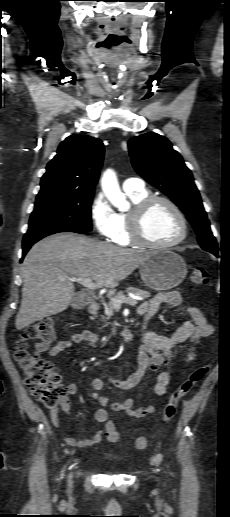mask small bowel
I'll return each instance as SVG.
<instances>
[{"instance_id": "obj_1", "label": "small bowel", "mask_w": 230, "mask_h": 517, "mask_svg": "<svg viewBox=\"0 0 230 517\" xmlns=\"http://www.w3.org/2000/svg\"><path fill=\"white\" fill-rule=\"evenodd\" d=\"M163 305H184L186 307L189 319L180 325L177 330L170 336L160 335L154 332L145 331L141 335V347L138 352L137 362L138 368L128 378L120 380L108 374L97 377L91 381L92 389L94 390L91 397L101 407L94 413V418L98 423H105V429L95 432L87 439H76L69 435H64V441L69 446L73 447H89L99 443L104 435H107L109 425H113L108 421V412L119 413L125 412L134 418H142L152 414L155 407L152 404H147L138 408H133V400L131 398L125 399L122 402L109 403L105 396L98 393L106 383L111 386L121 389L129 390L135 387L143 378L146 371H158L162 367H166L172 359L173 348L183 343H188V351L184 357L183 371H189L195 363L197 357V346L203 338L211 337L214 334V327L208 323L204 314L194 305L189 303L186 298L176 291L158 293L154 295L149 301L143 302L138 311L145 316H151ZM81 345L83 347H98V335L90 330H83L79 333L72 334L68 339L57 342L50 347L47 342H38L35 345L34 353L39 355L48 352L50 356L57 357L66 349ZM172 373L168 370L159 372L156 382L153 385L155 394L162 396L166 393L170 384ZM69 395L75 394L78 391V386L75 383H69L66 386ZM108 406V409L104 407ZM60 410L65 414H70L71 403L68 397H64L60 402ZM50 419L53 426L60 429V418L58 409H52L50 412Z\"/></svg>"}]
</instances>
